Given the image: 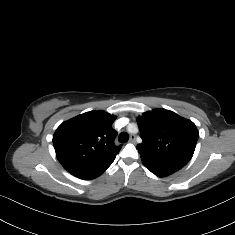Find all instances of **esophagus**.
Segmentation results:
<instances>
[{
  "label": "esophagus",
  "instance_id": "34e87169",
  "mask_svg": "<svg viewBox=\"0 0 235 235\" xmlns=\"http://www.w3.org/2000/svg\"><path fill=\"white\" fill-rule=\"evenodd\" d=\"M136 141V137H135V135H130V139H129V142L130 143H134Z\"/></svg>",
  "mask_w": 235,
  "mask_h": 235
}]
</instances>
